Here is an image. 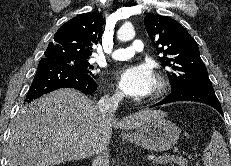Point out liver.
I'll list each match as a JSON object with an SVG mask.
<instances>
[{
    "label": "liver",
    "mask_w": 231,
    "mask_h": 166,
    "mask_svg": "<svg viewBox=\"0 0 231 166\" xmlns=\"http://www.w3.org/2000/svg\"><path fill=\"white\" fill-rule=\"evenodd\" d=\"M146 109L117 119L74 89H59L22 108L11 126L8 166H54L107 149L112 127L135 129L157 115Z\"/></svg>",
    "instance_id": "obj_1"
}]
</instances>
